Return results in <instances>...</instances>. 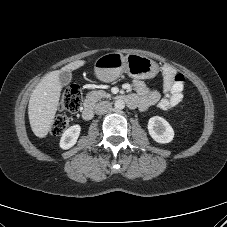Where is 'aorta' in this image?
<instances>
[{"label":"aorta","mask_w":227,"mask_h":227,"mask_svg":"<svg viewBox=\"0 0 227 227\" xmlns=\"http://www.w3.org/2000/svg\"><path fill=\"white\" fill-rule=\"evenodd\" d=\"M114 107L117 110H121L125 107V102L122 99H117L114 103Z\"/></svg>","instance_id":"aorta-1"}]
</instances>
